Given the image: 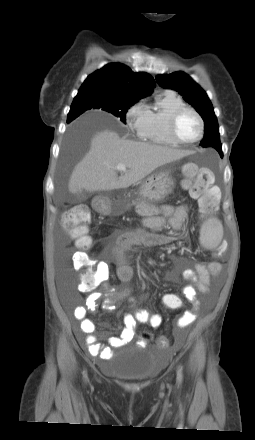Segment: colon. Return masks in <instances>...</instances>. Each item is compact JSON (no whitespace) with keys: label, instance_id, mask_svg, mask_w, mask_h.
Listing matches in <instances>:
<instances>
[{"label":"colon","instance_id":"obj_1","mask_svg":"<svg viewBox=\"0 0 255 440\" xmlns=\"http://www.w3.org/2000/svg\"><path fill=\"white\" fill-rule=\"evenodd\" d=\"M184 180L182 185L188 189L191 197L199 201L200 208L205 213H212L218 207L219 193L212 186L214 182L213 172L206 167H198L188 164L183 169ZM91 213L85 205H75L64 212L61 218V225L69 236L81 249L90 246L88 225ZM73 267L81 272L79 289L88 291L96 285V266L95 262L82 250L73 255ZM161 305L166 311H182L184 308L182 298H161ZM149 338L147 333L143 334V339ZM158 345L161 352H170L173 341L169 340L165 334L157 335Z\"/></svg>","mask_w":255,"mask_h":440}]
</instances>
